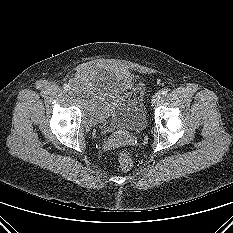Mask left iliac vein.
<instances>
[{"instance_id": "4c4485c4", "label": "left iliac vein", "mask_w": 233, "mask_h": 233, "mask_svg": "<svg viewBox=\"0 0 233 233\" xmlns=\"http://www.w3.org/2000/svg\"><path fill=\"white\" fill-rule=\"evenodd\" d=\"M161 98V94L160 93H156L155 95H153L152 97V104H155L159 101V99Z\"/></svg>"}]
</instances>
